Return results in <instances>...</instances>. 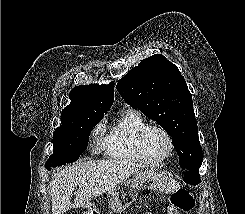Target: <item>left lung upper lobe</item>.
<instances>
[{
  "label": "left lung upper lobe",
  "instance_id": "obj_1",
  "mask_svg": "<svg viewBox=\"0 0 245 214\" xmlns=\"http://www.w3.org/2000/svg\"><path fill=\"white\" fill-rule=\"evenodd\" d=\"M117 90L172 137L183 169L199 170L203 155L192 95L176 65L160 54L148 57L119 80Z\"/></svg>",
  "mask_w": 245,
  "mask_h": 214
}]
</instances>
